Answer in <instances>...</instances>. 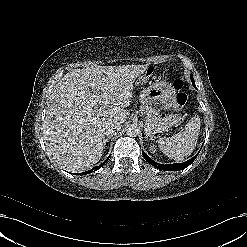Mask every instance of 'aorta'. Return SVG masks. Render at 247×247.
<instances>
[{
  "instance_id": "obj_1",
  "label": "aorta",
  "mask_w": 247,
  "mask_h": 247,
  "mask_svg": "<svg viewBox=\"0 0 247 247\" xmlns=\"http://www.w3.org/2000/svg\"><path fill=\"white\" fill-rule=\"evenodd\" d=\"M138 127L136 124H129L126 127V133L130 137H135L138 135Z\"/></svg>"
}]
</instances>
